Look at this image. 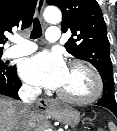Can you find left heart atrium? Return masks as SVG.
Segmentation results:
<instances>
[{"instance_id":"1","label":"left heart atrium","mask_w":117,"mask_h":131,"mask_svg":"<svg viewBox=\"0 0 117 131\" xmlns=\"http://www.w3.org/2000/svg\"><path fill=\"white\" fill-rule=\"evenodd\" d=\"M67 69L59 53L41 52L24 59L20 64L19 73L28 83L59 89L64 83Z\"/></svg>"}]
</instances>
